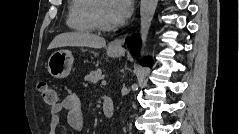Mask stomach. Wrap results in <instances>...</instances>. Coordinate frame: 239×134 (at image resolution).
Segmentation results:
<instances>
[{"mask_svg": "<svg viewBox=\"0 0 239 134\" xmlns=\"http://www.w3.org/2000/svg\"><path fill=\"white\" fill-rule=\"evenodd\" d=\"M121 53L122 49L107 48V55L110 57H119ZM73 61L74 59L71 51H55L48 59V72L55 78H65L71 71Z\"/></svg>", "mask_w": 239, "mask_h": 134, "instance_id": "0dacf381", "label": "stomach"}]
</instances>
